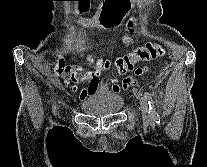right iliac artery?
Segmentation results:
<instances>
[{
	"mask_svg": "<svg viewBox=\"0 0 207 167\" xmlns=\"http://www.w3.org/2000/svg\"><path fill=\"white\" fill-rule=\"evenodd\" d=\"M56 107H54V113H55Z\"/></svg>",
	"mask_w": 207,
	"mask_h": 167,
	"instance_id": "1",
	"label": "right iliac artery"
}]
</instances>
